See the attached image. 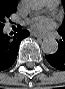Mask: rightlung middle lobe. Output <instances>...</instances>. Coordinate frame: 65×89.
<instances>
[{
    "label": "right lung middle lobe",
    "instance_id": "1",
    "mask_svg": "<svg viewBox=\"0 0 65 89\" xmlns=\"http://www.w3.org/2000/svg\"><path fill=\"white\" fill-rule=\"evenodd\" d=\"M15 9V7L0 3V29H3L5 20L15 12Z\"/></svg>",
    "mask_w": 65,
    "mask_h": 89
}]
</instances>
